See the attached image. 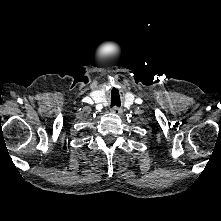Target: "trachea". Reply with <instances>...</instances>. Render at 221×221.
<instances>
[{
	"instance_id": "3493384b",
	"label": "trachea",
	"mask_w": 221,
	"mask_h": 221,
	"mask_svg": "<svg viewBox=\"0 0 221 221\" xmlns=\"http://www.w3.org/2000/svg\"><path fill=\"white\" fill-rule=\"evenodd\" d=\"M120 105H121L120 99H111V107L113 106L120 107Z\"/></svg>"
}]
</instances>
